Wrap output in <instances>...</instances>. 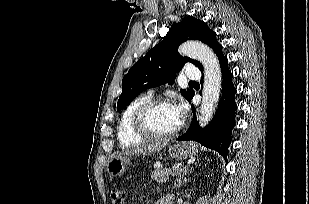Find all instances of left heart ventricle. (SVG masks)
<instances>
[{"label": "left heart ventricle", "mask_w": 309, "mask_h": 204, "mask_svg": "<svg viewBox=\"0 0 309 204\" xmlns=\"http://www.w3.org/2000/svg\"><path fill=\"white\" fill-rule=\"evenodd\" d=\"M146 123L154 133L164 134L174 130L180 120L175 107L165 105L152 109L146 117Z\"/></svg>", "instance_id": "obj_1"}]
</instances>
